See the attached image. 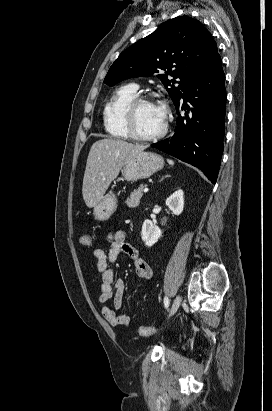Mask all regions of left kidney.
<instances>
[{
	"label": "left kidney",
	"instance_id": "left-kidney-1",
	"mask_svg": "<svg viewBox=\"0 0 272 411\" xmlns=\"http://www.w3.org/2000/svg\"><path fill=\"white\" fill-rule=\"evenodd\" d=\"M166 205L175 215H180L184 209V192L182 190L174 192L166 199ZM141 236L145 245L151 247L162 236V231L147 219L142 225Z\"/></svg>",
	"mask_w": 272,
	"mask_h": 411
}]
</instances>
